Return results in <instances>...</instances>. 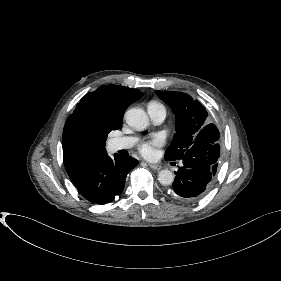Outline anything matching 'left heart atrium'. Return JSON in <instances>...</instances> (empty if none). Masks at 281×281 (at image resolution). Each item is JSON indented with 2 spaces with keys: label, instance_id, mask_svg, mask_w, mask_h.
Returning a JSON list of instances; mask_svg holds the SVG:
<instances>
[{
  "label": "left heart atrium",
  "instance_id": "left-heart-atrium-1",
  "mask_svg": "<svg viewBox=\"0 0 281 281\" xmlns=\"http://www.w3.org/2000/svg\"><path fill=\"white\" fill-rule=\"evenodd\" d=\"M161 144H162V141L160 139H155L150 142L144 143L141 146L140 151L143 156L150 158L155 155V148L160 146Z\"/></svg>",
  "mask_w": 281,
  "mask_h": 281
}]
</instances>
